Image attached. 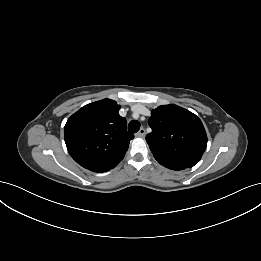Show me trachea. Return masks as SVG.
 Segmentation results:
<instances>
[{
    "instance_id": "3493384b",
    "label": "trachea",
    "mask_w": 261,
    "mask_h": 261,
    "mask_svg": "<svg viewBox=\"0 0 261 261\" xmlns=\"http://www.w3.org/2000/svg\"><path fill=\"white\" fill-rule=\"evenodd\" d=\"M128 129L131 133H136L139 131L140 129V123L137 120H132L129 125H128Z\"/></svg>"
}]
</instances>
